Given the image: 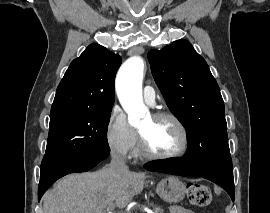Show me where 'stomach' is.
<instances>
[{
	"mask_svg": "<svg viewBox=\"0 0 270 213\" xmlns=\"http://www.w3.org/2000/svg\"><path fill=\"white\" fill-rule=\"evenodd\" d=\"M157 194L166 202L177 203L186 193V185L175 176H165L156 186Z\"/></svg>",
	"mask_w": 270,
	"mask_h": 213,
	"instance_id": "1",
	"label": "stomach"
}]
</instances>
